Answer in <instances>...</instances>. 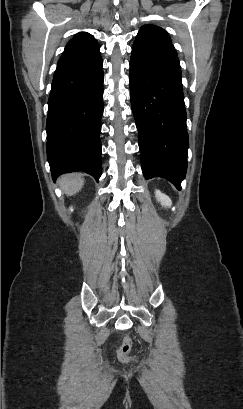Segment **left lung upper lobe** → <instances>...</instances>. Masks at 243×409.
I'll use <instances>...</instances> for the list:
<instances>
[{"label": "left lung upper lobe", "mask_w": 243, "mask_h": 409, "mask_svg": "<svg viewBox=\"0 0 243 409\" xmlns=\"http://www.w3.org/2000/svg\"><path fill=\"white\" fill-rule=\"evenodd\" d=\"M171 41L168 33L155 25H144L140 28L133 46H152Z\"/></svg>", "instance_id": "1"}]
</instances>
